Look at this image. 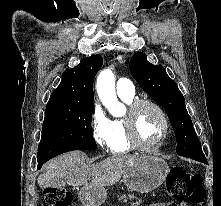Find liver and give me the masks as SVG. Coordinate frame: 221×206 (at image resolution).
<instances>
[{
	"mask_svg": "<svg viewBox=\"0 0 221 206\" xmlns=\"http://www.w3.org/2000/svg\"><path fill=\"white\" fill-rule=\"evenodd\" d=\"M138 159L136 156L114 155L87 165L83 152L71 151L50 161L44 167V173L38 177V184L46 188L55 185L54 180H64L73 186H110L118 182ZM90 178L92 181L88 184Z\"/></svg>",
	"mask_w": 221,
	"mask_h": 206,
	"instance_id": "1",
	"label": "liver"
}]
</instances>
